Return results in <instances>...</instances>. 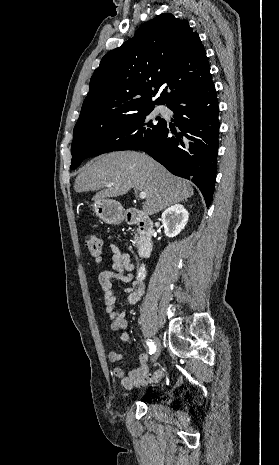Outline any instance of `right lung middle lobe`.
Here are the masks:
<instances>
[{"instance_id": "right-lung-middle-lobe-1", "label": "right lung middle lobe", "mask_w": 279, "mask_h": 465, "mask_svg": "<svg viewBox=\"0 0 279 465\" xmlns=\"http://www.w3.org/2000/svg\"><path fill=\"white\" fill-rule=\"evenodd\" d=\"M153 108L145 107L100 125L75 126L71 169L90 156L150 143L166 124L165 120L149 115Z\"/></svg>"}]
</instances>
